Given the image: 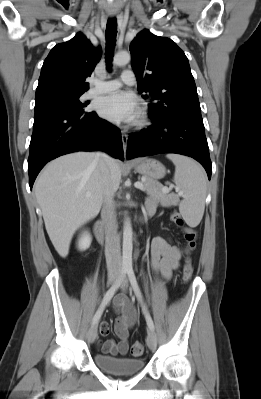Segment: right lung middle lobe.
<instances>
[{
    "mask_svg": "<svg viewBox=\"0 0 261 399\" xmlns=\"http://www.w3.org/2000/svg\"><path fill=\"white\" fill-rule=\"evenodd\" d=\"M81 95L82 94L65 95L36 100L35 113L52 109H64L80 115L88 114L83 110L86 104H82L79 101Z\"/></svg>",
    "mask_w": 261,
    "mask_h": 399,
    "instance_id": "right-lung-middle-lobe-1",
    "label": "right lung middle lobe"
}]
</instances>
